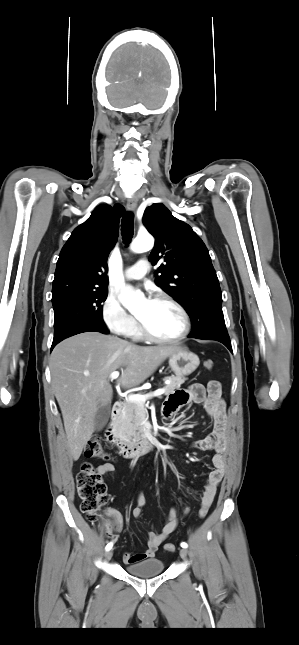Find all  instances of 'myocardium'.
<instances>
[{"label":"myocardium","mask_w":299,"mask_h":645,"mask_svg":"<svg viewBox=\"0 0 299 645\" xmlns=\"http://www.w3.org/2000/svg\"><path fill=\"white\" fill-rule=\"evenodd\" d=\"M153 301L165 302L173 306L181 315L183 327L179 334L173 337H158L152 334L146 325L137 317L138 330L143 338L154 343H176L183 340L190 332L191 320L187 310L174 298L169 295L160 294Z\"/></svg>","instance_id":"obj_1"}]
</instances>
